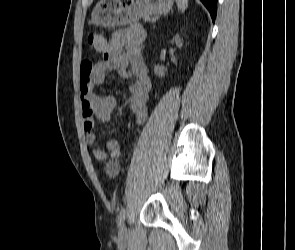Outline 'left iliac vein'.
<instances>
[{"instance_id": "left-iliac-vein-1", "label": "left iliac vein", "mask_w": 295, "mask_h": 250, "mask_svg": "<svg viewBox=\"0 0 295 250\" xmlns=\"http://www.w3.org/2000/svg\"><path fill=\"white\" fill-rule=\"evenodd\" d=\"M120 239H127L128 238V232L125 226V223L123 222L121 226H119V232H118Z\"/></svg>"}]
</instances>
